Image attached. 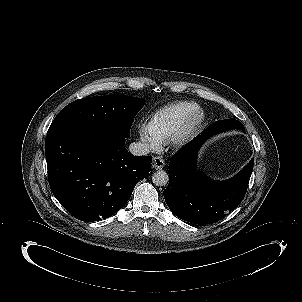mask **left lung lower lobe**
I'll use <instances>...</instances> for the list:
<instances>
[{"instance_id": "left-lung-lower-lobe-1", "label": "left lung lower lobe", "mask_w": 302, "mask_h": 302, "mask_svg": "<svg viewBox=\"0 0 302 302\" xmlns=\"http://www.w3.org/2000/svg\"><path fill=\"white\" fill-rule=\"evenodd\" d=\"M216 133L219 132L210 125L174 154L169 163V184L163 191L165 202L177 217L191 223L219 221L236 208L247 191L254 159L225 181L210 180L196 171L199 147Z\"/></svg>"}]
</instances>
